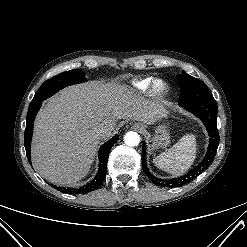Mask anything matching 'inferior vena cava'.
Instances as JSON below:
<instances>
[{"mask_svg": "<svg viewBox=\"0 0 247 247\" xmlns=\"http://www.w3.org/2000/svg\"><path fill=\"white\" fill-rule=\"evenodd\" d=\"M94 132L97 136H104L108 132V128L104 126L103 124H99L95 127Z\"/></svg>", "mask_w": 247, "mask_h": 247, "instance_id": "obj_1", "label": "inferior vena cava"}]
</instances>
